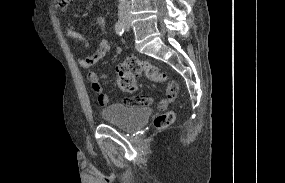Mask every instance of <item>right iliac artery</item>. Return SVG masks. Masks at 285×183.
<instances>
[{
    "instance_id": "82829eb1",
    "label": "right iliac artery",
    "mask_w": 285,
    "mask_h": 183,
    "mask_svg": "<svg viewBox=\"0 0 285 183\" xmlns=\"http://www.w3.org/2000/svg\"><path fill=\"white\" fill-rule=\"evenodd\" d=\"M115 31L118 35H122L124 33V25L122 22L118 21L115 25Z\"/></svg>"
}]
</instances>
